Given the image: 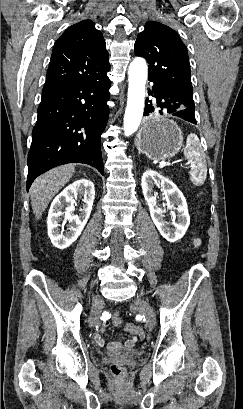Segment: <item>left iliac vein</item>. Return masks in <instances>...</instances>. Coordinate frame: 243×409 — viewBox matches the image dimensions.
Returning <instances> with one entry per match:
<instances>
[{"label":"left iliac vein","instance_id":"4c4485c4","mask_svg":"<svg viewBox=\"0 0 243 409\" xmlns=\"http://www.w3.org/2000/svg\"><path fill=\"white\" fill-rule=\"evenodd\" d=\"M136 305L138 306L140 312L143 313L147 318V324L149 325V327L153 328L156 323L155 313L153 309L147 303H142L139 300L136 302Z\"/></svg>","mask_w":243,"mask_h":409}]
</instances>
